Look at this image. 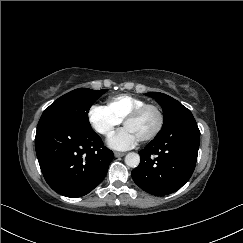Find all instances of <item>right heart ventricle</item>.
<instances>
[{"label": "right heart ventricle", "mask_w": 243, "mask_h": 243, "mask_svg": "<svg viewBox=\"0 0 243 243\" xmlns=\"http://www.w3.org/2000/svg\"><path fill=\"white\" fill-rule=\"evenodd\" d=\"M145 104L143 99L121 94L110 98L107 107L118 119L123 120L131 111Z\"/></svg>", "instance_id": "e07e8e85"}]
</instances>
